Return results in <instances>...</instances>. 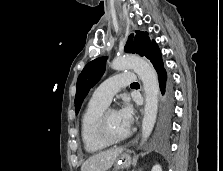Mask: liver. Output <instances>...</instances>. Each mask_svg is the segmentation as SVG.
I'll return each instance as SVG.
<instances>
[{"label":"liver","mask_w":223,"mask_h":171,"mask_svg":"<svg viewBox=\"0 0 223 171\" xmlns=\"http://www.w3.org/2000/svg\"><path fill=\"white\" fill-rule=\"evenodd\" d=\"M122 152L123 148H113L99 152L83 163L81 171H107L113 166L114 162Z\"/></svg>","instance_id":"6515ba94"}]
</instances>
